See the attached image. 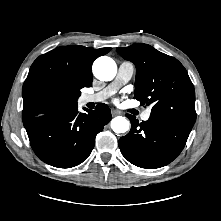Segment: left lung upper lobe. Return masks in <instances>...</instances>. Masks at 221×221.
<instances>
[{
  "label": "left lung upper lobe",
  "instance_id": "left-lung-upper-lobe-1",
  "mask_svg": "<svg viewBox=\"0 0 221 221\" xmlns=\"http://www.w3.org/2000/svg\"><path fill=\"white\" fill-rule=\"evenodd\" d=\"M117 52L136 66L135 98L142 105H153L150 116L192 128L195 91L184 66L148 44L117 48Z\"/></svg>",
  "mask_w": 221,
  "mask_h": 221
}]
</instances>
